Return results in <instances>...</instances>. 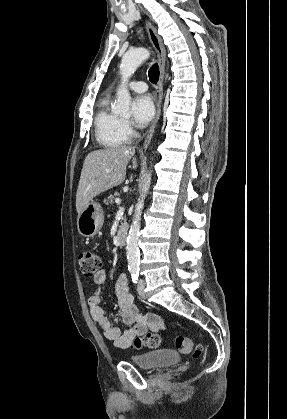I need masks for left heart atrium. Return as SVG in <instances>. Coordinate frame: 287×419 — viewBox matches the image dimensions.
I'll use <instances>...</instances> for the list:
<instances>
[{
    "label": "left heart atrium",
    "mask_w": 287,
    "mask_h": 419,
    "mask_svg": "<svg viewBox=\"0 0 287 419\" xmlns=\"http://www.w3.org/2000/svg\"><path fill=\"white\" fill-rule=\"evenodd\" d=\"M154 113L155 104L152 96L141 94L135 97L132 102V116L137 126H145L153 118Z\"/></svg>",
    "instance_id": "39dd6f15"
}]
</instances>
